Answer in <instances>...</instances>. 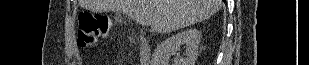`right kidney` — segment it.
Returning a JSON list of instances; mask_svg holds the SVG:
<instances>
[{
    "label": "right kidney",
    "mask_w": 309,
    "mask_h": 65,
    "mask_svg": "<svg viewBox=\"0 0 309 65\" xmlns=\"http://www.w3.org/2000/svg\"><path fill=\"white\" fill-rule=\"evenodd\" d=\"M200 32L196 29H186L173 35L157 45L151 61L152 65H167L170 55L180 51L185 45V57L177 56L174 65H194L198 55Z\"/></svg>",
    "instance_id": "ca27d5eb"
}]
</instances>
